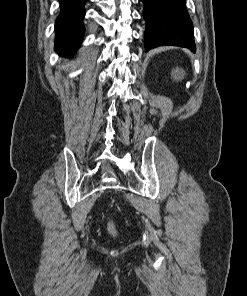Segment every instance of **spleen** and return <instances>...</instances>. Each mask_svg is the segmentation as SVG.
Returning <instances> with one entry per match:
<instances>
[{
	"label": "spleen",
	"instance_id": "1",
	"mask_svg": "<svg viewBox=\"0 0 247 296\" xmlns=\"http://www.w3.org/2000/svg\"><path fill=\"white\" fill-rule=\"evenodd\" d=\"M177 77H178V79H181L183 77V73L179 72Z\"/></svg>",
	"mask_w": 247,
	"mask_h": 296
}]
</instances>
